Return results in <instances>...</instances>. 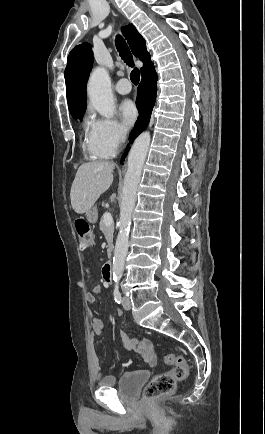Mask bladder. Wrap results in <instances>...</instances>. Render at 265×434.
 <instances>
[{
    "instance_id": "1",
    "label": "bladder",
    "mask_w": 265,
    "mask_h": 434,
    "mask_svg": "<svg viewBox=\"0 0 265 434\" xmlns=\"http://www.w3.org/2000/svg\"><path fill=\"white\" fill-rule=\"evenodd\" d=\"M149 378L146 370H131L122 374L118 382V395L126 399H136Z\"/></svg>"
}]
</instances>
